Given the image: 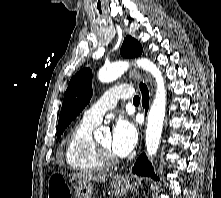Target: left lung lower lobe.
<instances>
[{
    "label": "left lung lower lobe",
    "mask_w": 221,
    "mask_h": 198,
    "mask_svg": "<svg viewBox=\"0 0 221 198\" xmlns=\"http://www.w3.org/2000/svg\"><path fill=\"white\" fill-rule=\"evenodd\" d=\"M140 89L142 92V105L147 111L149 106L148 89L144 84H140ZM132 172L139 176H150L154 179H158L157 176L154 174L151 163L148 161L144 153L140 155V157L137 159L134 167L132 168Z\"/></svg>",
    "instance_id": "1"
}]
</instances>
